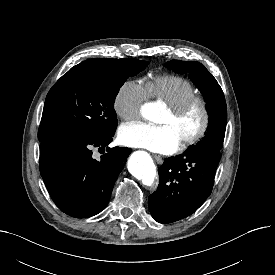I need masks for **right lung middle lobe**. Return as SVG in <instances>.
I'll list each match as a JSON object with an SVG mask.
<instances>
[{
  "label": "right lung middle lobe",
  "instance_id": "1",
  "mask_svg": "<svg viewBox=\"0 0 275 275\" xmlns=\"http://www.w3.org/2000/svg\"><path fill=\"white\" fill-rule=\"evenodd\" d=\"M148 61L86 60L72 67L47 94L38 131L41 143L90 139L115 133L114 102L129 76L144 70Z\"/></svg>",
  "mask_w": 275,
  "mask_h": 275
}]
</instances>
